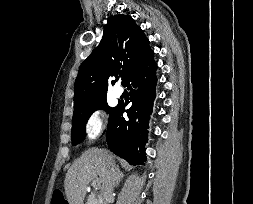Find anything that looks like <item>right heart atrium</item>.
<instances>
[{
  "label": "right heart atrium",
  "mask_w": 253,
  "mask_h": 204,
  "mask_svg": "<svg viewBox=\"0 0 253 204\" xmlns=\"http://www.w3.org/2000/svg\"><path fill=\"white\" fill-rule=\"evenodd\" d=\"M105 114L101 109L93 110L86 118L84 131L89 141L95 140L104 130Z\"/></svg>",
  "instance_id": "1"
}]
</instances>
